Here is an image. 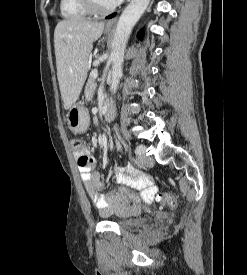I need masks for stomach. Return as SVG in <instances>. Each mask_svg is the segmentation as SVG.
I'll return each mask as SVG.
<instances>
[{
    "label": "stomach",
    "mask_w": 247,
    "mask_h": 275,
    "mask_svg": "<svg viewBox=\"0 0 247 275\" xmlns=\"http://www.w3.org/2000/svg\"><path fill=\"white\" fill-rule=\"evenodd\" d=\"M109 33V29L105 30ZM69 128L74 132H83L89 126L88 111L80 103H75L67 114Z\"/></svg>",
    "instance_id": "obj_1"
}]
</instances>
